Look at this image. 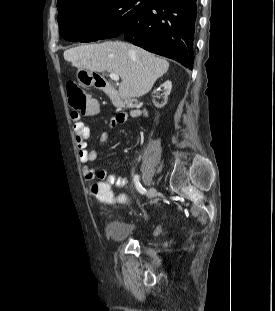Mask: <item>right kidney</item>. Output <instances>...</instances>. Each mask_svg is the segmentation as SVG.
Here are the masks:
<instances>
[{
    "label": "right kidney",
    "mask_w": 275,
    "mask_h": 311,
    "mask_svg": "<svg viewBox=\"0 0 275 311\" xmlns=\"http://www.w3.org/2000/svg\"><path fill=\"white\" fill-rule=\"evenodd\" d=\"M172 89L171 81H165L160 87H154L153 90V104L156 105V108H165V105H169L168 95ZM164 91V93H163Z\"/></svg>",
    "instance_id": "1"
}]
</instances>
